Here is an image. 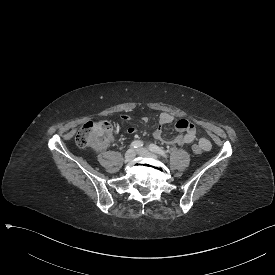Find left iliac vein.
I'll use <instances>...</instances> for the list:
<instances>
[{"mask_svg":"<svg viewBox=\"0 0 275 275\" xmlns=\"http://www.w3.org/2000/svg\"><path fill=\"white\" fill-rule=\"evenodd\" d=\"M137 153L141 156H146L148 158H156V155L149 151L147 148H140L137 150Z\"/></svg>","mask_w":275,"mask_h":275,"instance_id":"4c4485c4","label":"left iliac vein"}]
</instances>
